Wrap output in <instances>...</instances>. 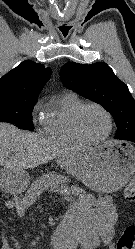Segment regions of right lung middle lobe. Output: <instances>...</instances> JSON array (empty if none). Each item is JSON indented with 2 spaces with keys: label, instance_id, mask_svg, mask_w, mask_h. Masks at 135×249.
Returning a JSON list of instances; mask_svg holds the SVG:
<instances>
[{
  "label": "right lung middle lobe",
  "instance_id": "obj_1",
  "mask_svg": "<svg viewBox=\"0 0 135 249\" xmlns=\"http://www.w3.org/2000/svg\"><path fill=\"white\" fill-rule=\"evenodd\" d=\"M36 98L17 95H0V122L15 124L20 129L33 131L31 119Z\"/></svg>",
  "mask_w": 135,
  "mask_h": 249
}]
</instances>
